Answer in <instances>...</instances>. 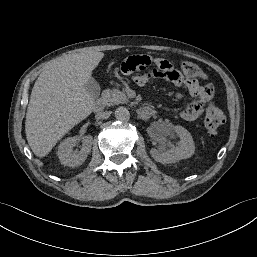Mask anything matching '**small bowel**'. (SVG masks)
I'll return each instance as SVG.
<instances>
[{
    "instance_id": "1",
    "label": "small bowel",
    "mask_w": 257,
    "mask_h": 257,
    "mask_svg": "<svg viewBox=\"0 0 257 257\" xmlns=\"http://www.w3.org/2000/svg\"><path fill=\"white\" fill-rule=\"evenodd\" d=\"M118 74L124 79H131L132 83L138 88L147 87L152 77L160 78L167 82L174 83L178 88H183L191 92L193 96L199 99L187 105L181 112L180 117L185 121L196 120L203 111L205 102L212 96V90L209 85L202 86L193 77L177 68H174L168 60H154L145 53L130 55L122 59L117 65ZM177 98H182L183 93L178 91Z\"/></svg>"
}]
</instances>
